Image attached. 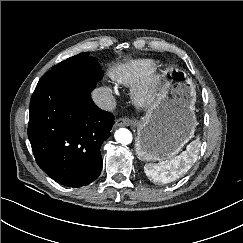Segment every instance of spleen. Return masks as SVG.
Returning a JSON list of instances; mask_svg holds the SVG:
<instances>
[{
    "instance_id": "obj_1",
    "label": "spleen",
    "mask_w": 243,
    "mask_h": 243,
    "mask_svg": "<svg viewBox=\"0 0 243 243\" xmlns=\"http://www.w3.org/2000/svg\"><path fill=\"white\" fill-rule=\"evenodd\" d=\"M201 143L199 139L187 145L186 151L170 160L158 164H146L144 172L146 176L156 183H170L186 173L197 160Z\"/></svg>"
}]
</instances>
